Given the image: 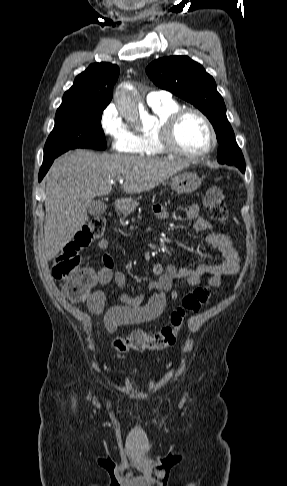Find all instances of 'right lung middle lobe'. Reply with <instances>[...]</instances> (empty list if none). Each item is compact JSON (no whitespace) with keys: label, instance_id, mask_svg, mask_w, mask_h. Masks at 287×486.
I'll return each mask as SVG.
<instances>
[{"label":"right lung middle lobe","instance_id":"dd1d6c3e","mask_svg":"<svg viewBox=\"0 0 287 486\" xmlns=\"http://www.w3.org/2000/svg\"><path fill=\"white\" fill-rule=\"evenodd\" d=\"M107 105L86 103L60 106L56 112L54 129L44 147L43 161L54 159L75 148L104 150L106 140L101 117Z\"/></svg>","mask_w":287,"mask_h":486}]
</instances>
